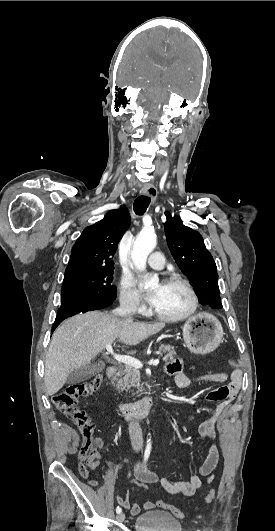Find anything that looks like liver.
I'll return each instance as SVG.
<instances>
[{"label":"liver","mask_w":275,"mask_h":531,"mask_svg":"<svg viewBox=\"0 0 275 531\" xmlns=\"http://www.w3.org/2000/svg\"><path fill=\"white\" fill-rule=\"evenodd\" d=\"M165 323H133L132 319H117L107 311H90L66 319L51 339L45 361V387L55 395L64 387L71 371L90 365L106 345L116 339L124 345H139L151 335L164 329Z\"/></svg>","instance_id":"obj_1"}]
</instances>
